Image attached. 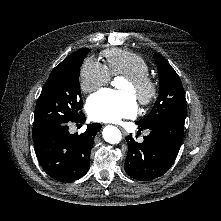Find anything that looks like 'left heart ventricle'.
I'll return each instance as SVG.
<instances>
[{
    "instance_id": "b2bd125f",
    "label": "left heart ventricle",
    "mask_w": 221,
    "mask_h": 221,
    "mask_svg": "<svg viewBox=\"0 0 221 221\" xmlns=\"http://www.w3.org/2000/svg\"><path fill=\"white\" fill-rule=\"evenodd\" d=\"M117 88L120 91H126L130 92L131 94L134 95V97L137 99V92L135 89L132 87L131 84H129L125 79H121L120 81L117 82Z\"/></svg>"
}]
</instances>
